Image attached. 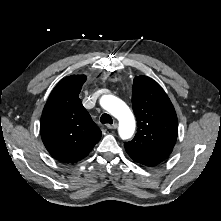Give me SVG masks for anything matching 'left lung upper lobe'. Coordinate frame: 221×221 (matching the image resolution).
Returning a JSON list of instances; mask_svg holds the SVG:
<instances>
[{"instance_id": "5c2ea615", "label": "left lung upper lobe", "mask_w": 221, "mask_h": 221, "mask_svg": "<svg viewBox=\"0 0 221 221\" xmlns=\"http://www.w3.org/2000/svg\"><path fill=\"white\" fill-rule=\"evenodd\" d=\"M132 107L138 129L134 139L124 147L134 161L154 167L170 155L175 145L178 134L175 109L161 86L147 76L134 78Z\"/></svg>"}]
</instances>
